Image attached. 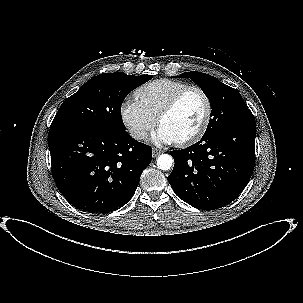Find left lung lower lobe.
Segmentation results:
<instances>
[{"mask_svg":"<svg viewBox=\"0 0 303 303\" xmlns=\"http://www.w3.org/2000/svg\"><path fill=\"white\" fill-rule=\"evenodd\" d=\"M255 123L204 135L198 143L171 151L169 184L184 202L214 210L231 203L251 178L255 164Z\"/></svg>","mask_w":303,"mask_h":303,"instance_id":"obj_1","label":"left lung lower lobe"}]
</instances>
